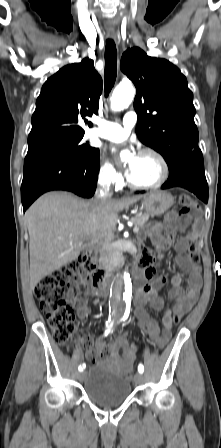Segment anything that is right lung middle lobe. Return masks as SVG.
Instances as JSON below:
<instances>
[{
  "instance_id": "1",
  "label": "right lung middle lobe",
  "mask_w": 221,
  "mask_h": 448,
  "mask_svg": "<svg viewBox=\"0 0 221 448\" xmlns=\"http://www.w3.org/2000/svg\"><path fill=\"white\" fill-rule=\"evenodd\" d=\"M84 135L51 141L28 149L27 154L53 152L63 154L79 162H90L98 158L99 149L82 142Z\"/></svg>"
}]
</instances>
